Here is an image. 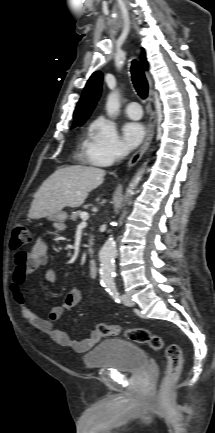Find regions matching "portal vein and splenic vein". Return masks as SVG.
<instances>
[{"mask_svg": "<svg viewBox=\"0 0 215 433\" xmlns=\"http://www.w3.org/2000/svg\"><path fill=\"white\" fill-rule=\"evenodd\" d=\"M88 218H89V216H88L87 213H82V214H81V219H82V223H81V224H82L83 226H86V225H87V222H86V221L88 220Z\"/></svg>", "mask_w": 215, "mask_h": 433, "instance_id": "obj_1", "label": "portal vein and splenic vein"}]
</instances>
